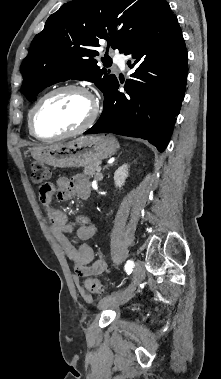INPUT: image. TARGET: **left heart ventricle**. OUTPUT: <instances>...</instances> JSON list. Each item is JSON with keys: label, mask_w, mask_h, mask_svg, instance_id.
<instances>
[{"label": "left heart ventricle", "mask_w": 221, "mask_h": 379, "mask_svg": "<svg viewBox=\"0 0 221 379\" xmlns=\"http://www.w3.org/2000/svg\"><path fill=\"white\" fill-rule=\"evenodd\" d=\"M92 103L82 93L66 91L47 98L35 113L38 134L50 137L80 126L90 115Z\"/></svg>", "instance_id": "obj_1"}]
</instances>
